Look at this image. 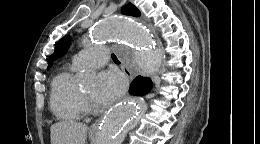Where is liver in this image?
Returning a JSON list of instances; mask_svg holds the SVG:
<instances>
[{"instance_id": "6515ba94", "label": "liver", "mask_w": 260, "mask_h": 144, "mask_svg": "<svg viewBox=\"0 0 260 144\" xmlns=\"http://www.w3.org/2000/svg\"><path fill=\"white\" fill-rule=\"evenodd\" d=\"M88 126L76 121H60L51 126V144H85Z\"/></svg>"}]
</instances>
